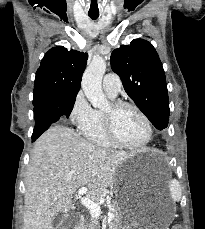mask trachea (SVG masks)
I'll return each mask as SVG.
<instances>
[{"label": "trachea", "mask_w": 205, "mask_h": 229, "mask_svg": "<svg viewBox=\"0 0 205 229\" xmlns=\"http://www.w3.org/2000/svg\"><path fill=\"white\" fill-rule=\"evenodd\" d=\"M89 17L93 20L97 19L99 17V15H89Z\"/></svg>", "instance_id": "trachea-1"}]
</instances>
